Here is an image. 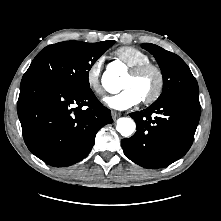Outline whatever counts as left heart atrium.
<instances>
[{"mask_svg":"<svg viewBox=\"0 0 221 221\" xmlns=\"http://www.w3.org/2000/svg\"><path fill=\"white\" fill-rule=\"evenodd\" d=\"M141 100V96L132 87L124 88L119 93L108 96L104 99L108 106L116 110L129 109L139 104Z\"/></svg>","mask_w":221,"mask_h":221,"instance_id":"left-heart-atrium-1","label":"left heart atrium"}]
</instances>
